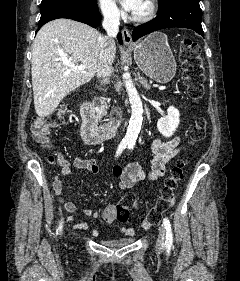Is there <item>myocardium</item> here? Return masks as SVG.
<instances>
[{
	"label": "myocardium",
	"mask_w": 240,
	"mask_h": 281,
	"mask_svg": "<svg viewBox=\"0 0 240 281\" xmlns=\"http://www.w3.org/2000/svg\"><path fill=\"white\" fill-rule=\"evenodd\" d=\"M146 11L142 14H133L132 20L139 23H144L151 20L156 13V0H146Z\"/></svg>",
	"instance_id": "obj_1"
}]
</instances>
